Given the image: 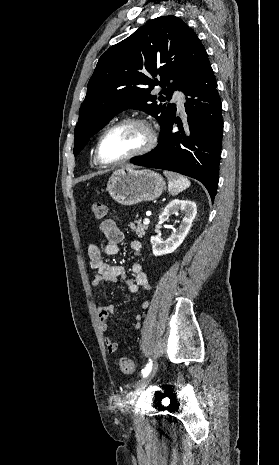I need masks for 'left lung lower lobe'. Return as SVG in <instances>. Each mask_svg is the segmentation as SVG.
<instances>
[{
	"instance_id": "0a47b994",
	"label": "left lung lower lobe",
	"mask_w": 279,
	"mask_h": 465,
	"mask_svg": "<svg viewBox=\"0 0 279 465\" xmlns=\"http://www.w3.org/2000/svg\"><path fill=\"white\" fill-rule=\"evenodd\" d=\"M208 55L205 53L186 85L188 129L174 119L155 149L130 160L135 165L178 172L199 180L214 201L223 136L222 104ZM178 123L179 132H173Z\"/></svg>"
}]
</instances>
